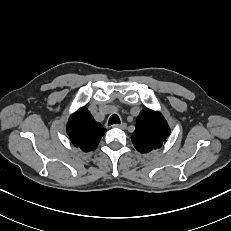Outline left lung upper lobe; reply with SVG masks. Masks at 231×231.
Wrapping results in <instances>:
<instances>
[{
	"label": "left lung upper lobe",
	"mask_w": 231,
	"mask_h": 231,
	"mask_svg": "<svg viewBox=\"0 0 231 231\" xmlns=\"http://www.w3.org/2000/svg\"><path fill=\"white\" fill-rule=\"evenodd\" d=\"M170 133V128L159 113L144 109L137 117L135 131L131 137L135 148L141 153H148L160 148Z\"/></svg>",
	"instance_id": "left-lung-upper-lobe-1"
}]
</instances>
